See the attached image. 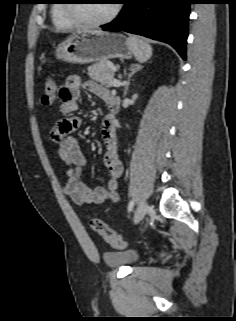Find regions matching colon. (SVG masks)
<instances>
[{
    "instance_id": "obj_1",
    "label": "colon",
    "mask_w": 236,
    "mask_h": 321,
    "mask_svg": "<svg viewBox=\"0 0 236 321\" xmlns=\"http://www.w3.org/2000/svg\"><path fill=\"white\" fill-rule=\"evenodd\" d=\"M56 98V83L53 80H48L43 89L42 103L46 106L52 105ZM90 226L97 235L102 237L113 248L122 250L126 247V241L104 221L100 219H91Z\"/></svg>"
}]
</instances>
